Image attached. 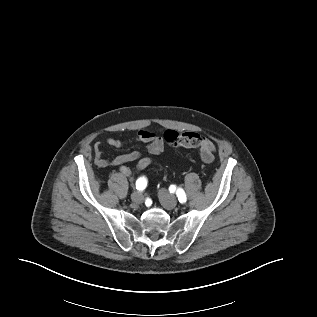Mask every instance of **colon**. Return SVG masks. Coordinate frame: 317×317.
Here are the masks:
<instances>
[{"mask_svg": "<svg viewBox=\"0 0 317 317\" xmlns=\"http://www.w3.org/2000/svg\"><path fill=\"white\" fill-rule=\"evenodd\" d=\"M163 139L171 147L195 148L200 146L202 137L195 132H178L167 130L164 132Z\"/></svg>", "mask_w": 317, "mask_h": 317, "instance_id": "colon-1", "label": "colon"}]
</instances>
